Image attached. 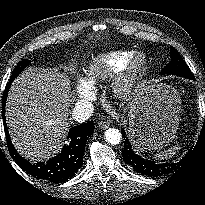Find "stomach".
<instances>
[{
    "instance_id": "stomach-1",
    "label": "stomach",
    "mask_w": 205,
    "mask_h": 205,
    "mask_svg": "<svg viewBox=\"0 0 205 205\" xmlns=\"http://www.w3.org/2000/svg\"><path fill=\"white\" fill-rule=\"evenodd\" d=\"M180 120L177 91L166 85L143 84L129 114V131L141 149L158 150L169 145L176 136Z\"/></svg>"
}]
</instances>
